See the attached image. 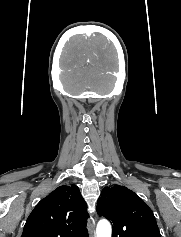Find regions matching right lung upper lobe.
<instances>
[{"instance_id": "1", "label": "right lung upper lobe", "mask_w": 181, "mask_h": 237, "mask_svg": "<svg viewBox=\"0 0 181 237\" xmlns=\"http://www.w3.org/2000/svg\"><path fill=\"white\" fill-rule=\"evenodd\" d=\"M88 216L79 188L61 185L35 206L21 237H88Z\"/></svg>"}]
</instances>
